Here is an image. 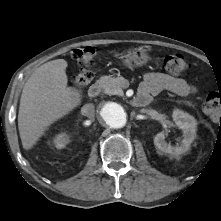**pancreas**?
I'll use <instances>...</instances> for the list:
<instances>
[{
	"instance_id": "pancreas-1",
	"label": "pancreas",
	"mask_w": 221,
	"mask_h": 221,
	"mask_svg": "<svg viewBox=\"0 0 221 221\" xmlns=\"http://www.w3.org/2000/svg\"><path fill=\"white\" fill-rule=\"evenodd\" d=\"M99 84L103 89V92L108 95H121L122 87L120 78L112 76H103L99 79Z\"/></svg>"
}]
</instances>
